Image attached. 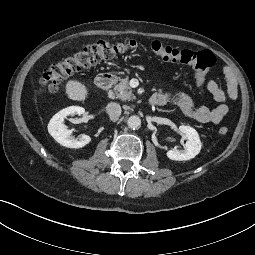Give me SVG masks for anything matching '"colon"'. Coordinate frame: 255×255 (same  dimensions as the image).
<instances>
[{
	"label": "colon",
	"mask_w": 255,
	"mask_h": 255,
	"mask_svg": "<svg viewBox=\"0 0 255 255\" xmlns=\"http://www.w3.org/2000/svg\"><path fill=\"white\" fill-rule=\"evenodd\" d=\"M137 48L138 43L133 40L118 42L102 40L86 45L77 53L47 68L41 77V85L49 91H56L60 83L75 72L88 68L101 60L111 59L116 55L134 51ZM150 48L154 55L163 61L192 66L195 81L199 88L205 86L207 74L215 64V57L209 51L180 50L160 41H153ZM218 132L225 135L228 133V128L222 126Z\"/></svg>",
	"instance_id": "colon-1"
}]
</instances>
